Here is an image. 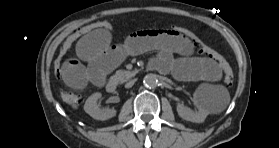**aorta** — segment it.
I'll return each instance as SVG.
<instances>
[{"label": "aorta", "instance_id": "obj_1", "mask_svg": "<svg viewBox=\"0 0 279 148\" xmlns=\"http://www.w3.org/2000/svg\"><path fill=\"white\" fill-rule=\"evenodd\" d=\"M143 83L147 88H155L158 84V78L155 74H147Z\"/></svg>", "mask_w": 279, "mask_h": 148}]
</instances>
